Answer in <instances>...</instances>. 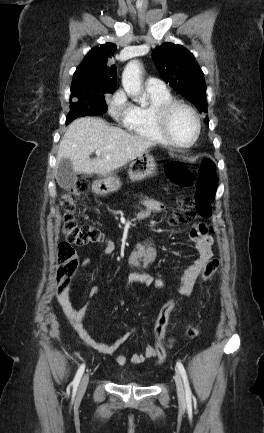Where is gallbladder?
Returning <instances> with one entry per match:
<instances>
[{
	"instance_id": "bac80fb5",
	"label": "gallbladder",
	"mask_w": 264,
	"mask_h": 433,
	"mask_svg": "<svg viewBox=\"0 0 264 433\" xmlns=\"http://www.w3.org/2000/svg\"><path fill=\"white\" fill-rule=\"evenodd\" d=\"M56 180L58 185L65 190H68L75 185L77 176L69 159L63 158L59 162L56 171Z\"/></svg>"
}]
</instances>
